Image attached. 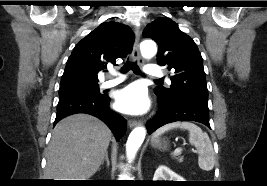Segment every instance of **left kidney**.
<instances>
[{
  "label": "left kidney",
  "instance_id": "left-kidney-1",
  "mask_svg": "<svg viewBox=\"0 0 267 186\" xmlns=\"http://www.w3.org/2000/svg\"><path fill=\"white\" fill-rule=\"evenodd\" d=\"M153 181H184V179L168 167L161 165L155 171Z\"/></svg>",
  "mask_w": 267,
  "mask_h": 186
}]
</instances>
